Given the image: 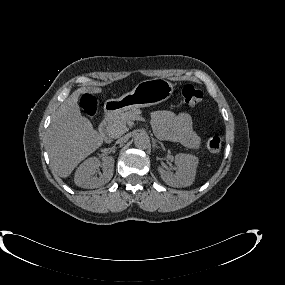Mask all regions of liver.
Here are the masks:
<instances>
[{"instance_id":"1","label":"liver","mask_w":285,"mask_h":285,"mask_svg":"<svg viewBox=\"0 0 285 285\" xmlns=\"http://www.w3.org/2000/svg\"><path fill=\"white\" fill-rule=\"evenodd\" d=\"M99 87L75 90L57 109L47 133V152L52 169L62 178L103 144V138L90 120L81 115L78 105L83 93H101Z\"/></svg>"}]
</instances>
